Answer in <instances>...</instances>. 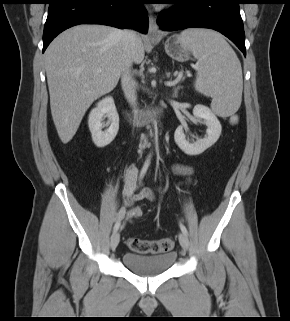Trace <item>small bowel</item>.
I'll list each match as a JSON object with an SVG mask.
<instances>
[{"label": "small bowel", "mask_w": 290, "mask_h": 321, "mask_svg": "<svg viewBox=\"0 0 290 321\" xmlns=\"http://www.w3.org/2000/svg\"><path fill=\"white\" fill-rule=\"evenodd\" d=\"M175 171L178 174H190L193 171V168L190 166H177L175 167ZM125 199H124V206L119 211V217L123 218L126 213V208L131 206L135 201L140 199H148V200H154L155 194L147 188H142L138 193L133 194V191H131L127 186L125 188Z\"/></svg>", "instance_id": "c3829d8e"}]
</instances>
